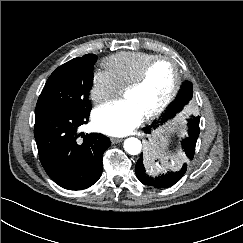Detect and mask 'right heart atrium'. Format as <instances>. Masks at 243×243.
Instances as JSON below:
<instances>
[{"label": "right heart atrium", "mask_w": 243, "mask_h": 243, "mask_svg": "<svg viewBox=\"0 0 243 243\" xmlns=\"http://www.w3.org/2000/svg\"><path fill=\"white\" fill-rule=\"evenodd\" d=\"M121 92L122 88L108 70L97 69L93 73L89 94L95 104L100 105L108 102L118 97Z\"/></svg>", "instance_id": "d8ad5b80"}]
</instances>
